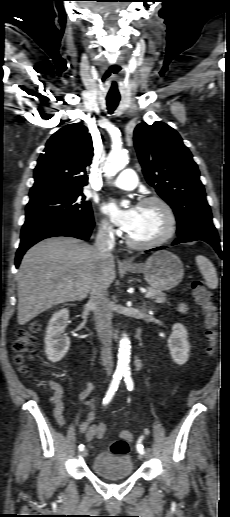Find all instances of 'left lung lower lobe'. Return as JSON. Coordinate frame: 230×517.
I'll use <instances>...</instances> for the list:
<instances>
[{
    "mask_svg": "<svg viewBox=\"0 0 230 517\" xmlns=\"http://www.w3.org/2000/svg\"><path fill=\"white\" fill-rule=\"evenodd\" d=\"M201 240L209 243L219 254L220 257H222V250L219 245V237L216 231V228L213 224H208L203 228L198 229L197 231L193 232L192 234L188 236H182L175 240L173 242V245L183 243V242H191ZM166 248L165 246L157 247L148 251H156ZM147 251V252H148Z\"/></svg>",
    "mask_w": 230,
    "mask_h": 517,
    "instance_id": "0a47b994",
    "label": "left lung lower lobe"
}]
</instances>
